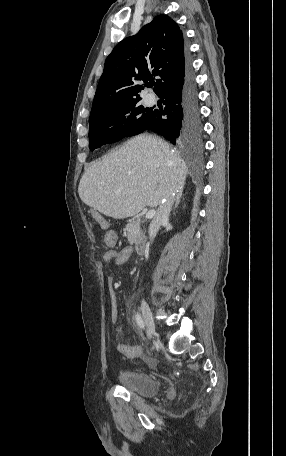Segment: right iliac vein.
<instances>
[{"label":"right iliac vein","instance_id":"right-iliac-vein-1","mask_svg":"<svg viewBox=\"0 0 286 456\" xmlns=\"http://www.w3.org/2000/svg\"><path fill=\"white\" fill-rule=\"evenodd\" d=\"M141 310L147 327L148 336L152 338L156 334V326L150 307L145 300L141 301Z\"/></svg>","mask_w":286,"mask_h":456}]
</instances>
